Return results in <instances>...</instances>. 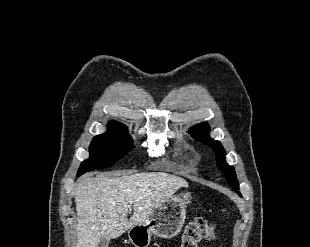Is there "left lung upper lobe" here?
<instances>
[{
	"instance_id": "5c2ea615",
	"label": "left lung upper lobe",
	"mask_w": 310,
	"mask_h": 247,
	"mask_svg": "<svg viewBox=\"0 0 310 247\" xmlns=\"http://www.w3.org/2000/svg\"><path fill=\"white\" fill-rule=\"evenodd\" d=\"M189 133L192 135V137L202 142L203 144H206L210 146L213 151L215 152V157L217 161V167L220 169V171L224 174V176L227 178L228 182L231 184L232 188L235 191L239 190V185L237 182V177L235 170L232 166H229L225 162V150L222 147L221 143L219 141L213 140L208 136L209 133V126L208 123H200L198 125H195L194 127L189 129Z\"/></svg>"
}]
</instances>
